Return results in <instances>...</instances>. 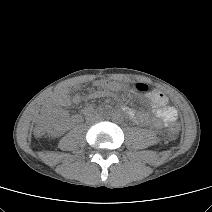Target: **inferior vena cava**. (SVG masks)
I'll return each mask as SVG.
<instances>
[{
	"label": "inferior vena cava",
	"instance_id": "obj_1",
	"mask_svg": "<svg viewBox=\"0 0 212 212\" xmlns=\"http://www.w3.org/2000/svg\"><path fill=\"white\" fill-rule=\"evenodd\" d=\"M89 120L92 123L98 124V123H100L101 118H100V116H98L96 114H92V115H90Z\"/></svg>",
	"mask_w": 212,
	"mask_h": 212
}]
</instances>
